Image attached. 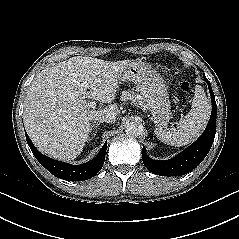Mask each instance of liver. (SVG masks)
<instances>
[{
	"label": "liver",
	"instance_id": "6515ba94",
	"mask_svg": "<svg viewBox=\"0 0 239 239\" xmlns=\"http://www.w3.org/2000/svg\"><path fill=\"white\" fill-rule=\"evenodd\" d=\"M129 62L76 56L38 73L27 91L23 117L38 150L63 161L79 156L93 117H116L119 113L116 105L102 110L91 108L85 98L102 103L114 101L121 74Z\"/></svg>",
	"mask_w": 239,
	"mask_h": 239
}]
</instances>
